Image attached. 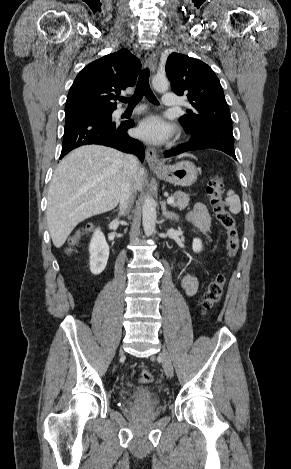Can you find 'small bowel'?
Instances as JSON below:
<instances>
[{
	"label": "small bowel",
	"mask_w": 291,
	"mask_h": 469,
	"mask_svg": "<svg viewBox=\"0 0 291 469\" xmlns=\"http://www.w3.org/2000/svg\"><path fill=\"white\" fill-rule=\"evenodd\" d=\"M188 220L202 232L206 231L210 224L209 214L202 203L195 205L188 215ZM181 286L186 295L192 296L197 292L199 284L194 276L186 274L181 279Z\"/></svg>",
	"instance_id": "1"
}]
</instances>
